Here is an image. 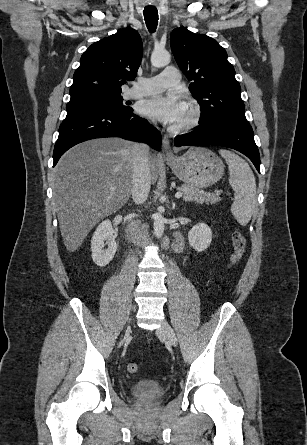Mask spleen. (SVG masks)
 I'll return each mask as SVG.
<instances>
[{
	"instance_id": "3e777b00",
	"label": "spleen",
	"mask_w": 307,
	"mask_h": 445,
	"mask_svg": "<svg viewBox=\"0 0 307 445\" xmlns=\"http://www.w3.org/2000/svg\"><path fill=\"white\" fill-rule=\"evenodd\" d=\"M219 152L228 164L229 182L234 190L231 212L237 223L245 227L257 206L255 176L248 162L241 156L223 148Z\"/></svg>"
}]
</instances>
